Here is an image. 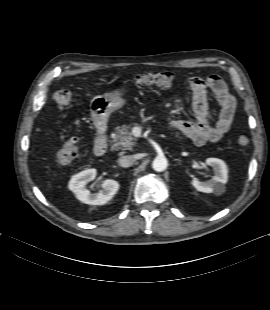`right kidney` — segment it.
<instances>
[{
    "label": "right kidney",
    "instance_id": "ca27d5eb",
    "mask_svg": "<svg viewBox=\"0 0 270 310\" xmlns=\"http://www.w3.org/2000/svg\"><path fill=\"white\" fill-rule=\"evenodd\" d=\"M95 169L84 170L74 176L69 181L68 188L76 195L81 202L90 205H104L117 193L119 183L115 180H104L98 193H91L86 185L96 177Z\"/></svg>",
    "mask_w": 270,
    "mask_h": 310
}]
</instances>
